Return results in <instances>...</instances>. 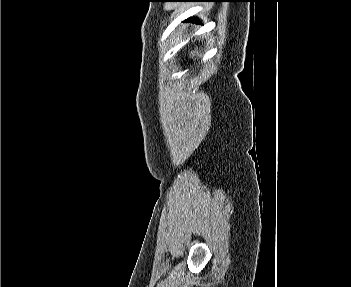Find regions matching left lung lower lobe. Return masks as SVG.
I'll return each instance as SVG.
<instances>
[{"label": "left lung lower lobe", "instance_id": "left-lung-lower-lobe-1", "mask_svg": "<svg viewBox=\"0 0 351 287\" xmlns=\"http://www.w3.org/2000/svg\"><path fill=\"white\" fill-rule=\"evenodd\" d=\"M176 1H178V2H189V1H191V0H176ZM188 21L196 22V23L199 22L196 18H191V19L185 20V22H188Z\"/></svg>", "mask_w": 351, "mask_h": 287}]
</instances>
